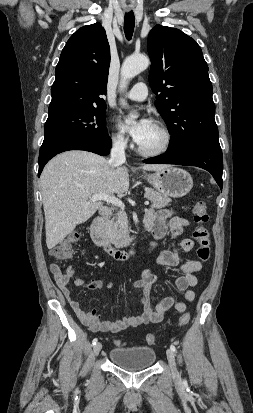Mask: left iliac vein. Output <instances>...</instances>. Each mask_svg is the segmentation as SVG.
<instances>
[{
	"label": "left iliac vein",
	"mask_w": 253,
	"mask_h": 413,
	"mask_svg": "<svg viewBox=\"0 0 253 413\" xmlns=\"http://www.w3.org/2000/svg\"><path fill=\"white\" fill-rule=\"evenodd\" d=\"M166 355H167V359H168L170 368L172 370L173 377L176 378V379H179L180 375H179V372L176 368L175 357H174L173 351L171 349H168L166 351Z\"/></svg>",
	"instance_id": "left-iliac-vein-1"
}]
</instances>
